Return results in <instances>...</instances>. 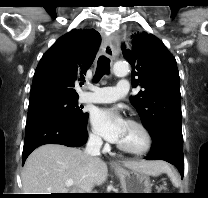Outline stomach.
Listing matches in <instances>:
<instances>
[{
	"label": "stomach",
	"instance_id": "obj_1",
	"mask_svg": "<svg viewBox=\"0 0 208 198\" xmlns=\"http://www.w3.org/2000/svg\"><path fill=\"white\" fill-rule=\"evenodd\" d=\"M115 173L119 177L123 193H151L152 183L149 175L136 171L115 167ZM129 197H141V194H130Z\"/></svg>",
	"mask_w": 208,
	"mask_h": 198
}]
</instances>
